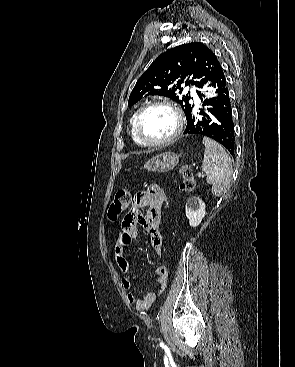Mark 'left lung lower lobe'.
Wrapping results in <instances>:
<instances>
[{
	"instance_id": "0a47b994",
	"label": "left lung lower lobe",
	"mask_w": 295,
	"mask_h": 367,
	"mask_svg": "<svg viewBox=\"0 0 295 367\" xmlns=\"http://www.w3.org/2000/svg\"><path fill=\"white\" fill-rule=\"evenodd\" d=\"M209 81L216 88V97L207 99L198 94L207 110L195 113L192 105L185 114L187 125L184 134H199L210 137L222 144L231 155H234L235 135L232 118V108L226 84V79L221 65L214 68ZM210 106V107H209Z\"/></svg>"
}]
</instances>
